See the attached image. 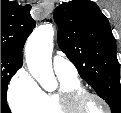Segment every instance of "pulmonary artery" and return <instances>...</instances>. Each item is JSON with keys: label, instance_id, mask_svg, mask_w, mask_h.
Here are the masks:
<instances>
[{"label": "pulmonary artery", "instance_id": "obj_1", "mask_svg": "<svg viewBox=\"0 0 121 113\" xmlns=\"http://www.w3.org/2000/svg\"><path fill=\"white\" fill-rule=\"evenodd\" d=\"M53 69L56 75L76 76L75 65L62 55H55L53 58Z\"/></svg>", "mask_w": 121, "mask_h": 113}]
</instances>
